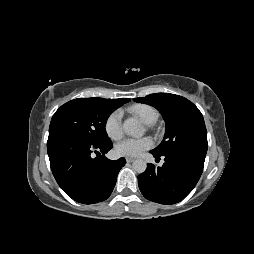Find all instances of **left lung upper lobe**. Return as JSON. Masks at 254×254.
<instances>
[{
    "mask_svg": "<svg viewBox=\"0 0 254 254\" xmlns=\"http://www.w3.org/2000/svg\"><path fill=\"white\" fill-rule=\"evenodd\" d=\"M155 107L166 122L165 136L153 151L158 155L195 149L207 152V131L199 109L188 99L170 93L150 94L134 99Z\"/></svg>",
    "mask_w": 254,
    "mask_h": 254,
    "instance_id": "obj_1",
    "label": "left lung upper lobe"
}]
</instances>
